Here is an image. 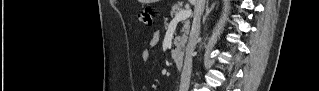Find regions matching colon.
Returning a JSON list of instances; mask_svg holds the SVG:
<instances>
[{"mask_svg":"<svg viewBox=\"0 0 319 91\" xmlns=\"http://www.w3.org/2000/svg\"><path fill=\"white\" fill-rule=\"evenodd\" d=\"M140 21L147 27H152L154 24L153 9L145 7L139 14Z\"/></svg>","mask_w":319,"mask_h":91,"instance_id":"1","label":"colon"}]
</instances>
